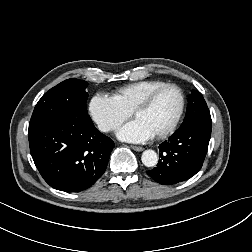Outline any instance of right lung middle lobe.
<instances>
[{"instance_id":"dd1d6c3e","label":"right lung middle lobe","mask_w":252,"mask_h":252,"mask_svg":"<svg viewBox=\"0 0 252 252\" xmlns=\"http://www.w3.org/2000/svg\"><path fill=\"white\" fill-rule=\"evenodd\" d=\"M86 87L87 82L79 79H68L59 83L38 101L29 125L62 117L82 118L90 121L91 118L86 109L88 98Z\"/></svg>"}]
</instances>
